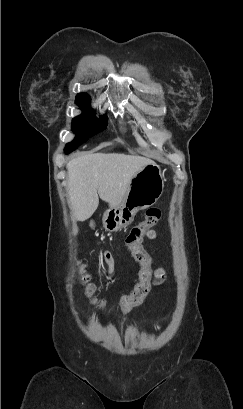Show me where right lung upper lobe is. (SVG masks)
<instances>
[{
	"label": "right lung upper lobe",
	"mask_w": 243,
	"mask_h": 409,
	"mask_svg": "<svg viewBox=\"0 0 243 409\" xmlns=\"http://www.w3.org/2000/svg\"><path fill=\"white\" fill-rule=\"evenodd\" d=\"M76 104L89 103L90 97L85 93H80L76 97Z\"/></svg>",
	"instance_id": "cb5924a9"
}]
</instances>
